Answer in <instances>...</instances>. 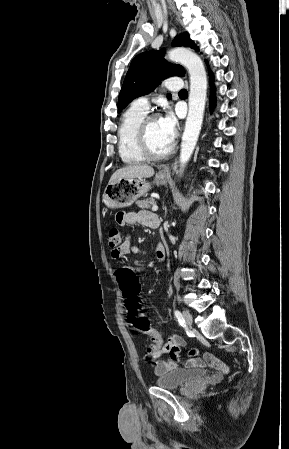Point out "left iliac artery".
<instances>
[{
	"label": "left iliac artery",
	"instance_id": "left-iliac-artery-1",
	"mask_svg": "<svg viewBox=\"0 0 289 449\" xmlns=\"http://www.w3.org/2000/svg\"><path fill=\"white\" fill-rule=\"evenodd\" d=\"M174 314H175V317L177 318V320L179 321V323L182 326L185 325V319L183 318V315L181 314V312L178 310H175Z\"/></svg>",
	"mask_w": 289,
	"mask_h": 449
}]
</instances>
